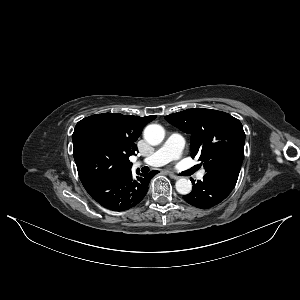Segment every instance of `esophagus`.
I'll list each match as a JSON object with an SVG mask.
<instances>
[{
	"instance_id": "obj_1",
	"label": "esophagus",
	"mask_w": 300,
	"mask_h": 300,
	"mask_svg": "<svg viewBox=\"0 0 300 300\" xmlns=\"http://www.w3.org/2000/svg\"><path fill=\"white\" fill-rule=\"evenodd\" d=\"M169 176H170L172 179H174V180H178V179L180 178V176L175 175V174H173V173H169Z\"/></svg>"
}]
</instances>
